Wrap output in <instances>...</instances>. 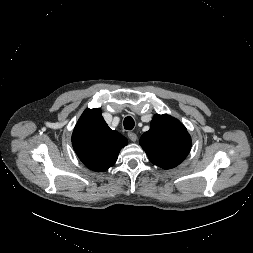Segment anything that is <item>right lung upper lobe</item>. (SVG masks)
<instances>
[{
	"mask_svg": "<svg viewBox=\"0 0 253 253\" xmlns=\"http://www.w3.org/2000/svg\"><path fill=\"white\" fill-rule=\"evenodd\" d=\"M73 148L89 169L102 172L114 165L127 139L111 130L99 108L84 111L72 134Z\"/></svg>",
	"mask_w": 253,
	"mask_h": 253,
	"instance_id": "1",
	"label": "right lung upper lobe"
}]
</instances>
